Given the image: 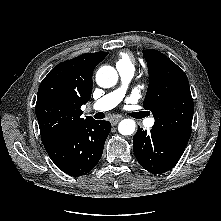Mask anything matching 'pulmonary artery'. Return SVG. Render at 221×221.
<instances>
[{
  "label": "pulmonary artery",
  "instance_id": "e3ab8cb5",
  "mask_svg": "<svg viewBox=\"0 0 221 221\" xmlns=\"http://www.w3.org/2000/svg\"><path fill=\"white\" fill-rule=\"evenodd\" d=\"M121 81L123 83V86L120 88L106 94L103 96L100 100H98L94 104V109L98 111H107L112 108H114L116 105L120 103V101L123 99L125 95V85L133 78L134 76V69H118ZM155 123L154 118H148L145 120V125L147 127H152Z\"/></svg>",
  "mask_w": 221,
  "mask_h": 221
}]
</instances>
